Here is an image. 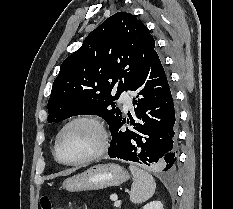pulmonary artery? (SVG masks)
I'll list each match as a JSON object with an SVG mask.
<instances>
[{"label":"pulmonary artery","mask_w":233,"mask_h":209,"mask_svg":"<svg viewBox=\"0 0 233 209\" xmlns=\"http://www.w3.org/2000/svg\"><path fill=\"white\" fill-rule=\"evenodd\" d=\"M119 102L125 109H130L132 107V98L130 92H123L119 98Z\"/></svg>","instance_id":"obj_1"}]
</instances>
